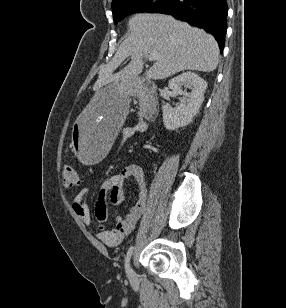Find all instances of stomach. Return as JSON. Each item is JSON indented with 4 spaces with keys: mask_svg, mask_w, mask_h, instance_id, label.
Returning <instances> with one entry per match:
<instances>
[{
    "mask_svg": "<svg viewBox=\"0 0 286 308\" xmlns=\"http://www.w3.org/2000/svg\"><path fill=\"white\" fill-rule=\"evenodd\" d=\"M130 83L102 85L93 97H88L86 109H81L72 122V149L80 165H97L113 149L114 137L123 124L130 107Z\"/></svg>",
    "mask_w": 286,
    "mask_h": 308,
    "instance_id": "0dacf381",
    "label": "stomach"
}]
</instances>
